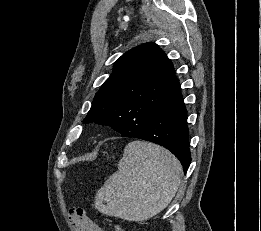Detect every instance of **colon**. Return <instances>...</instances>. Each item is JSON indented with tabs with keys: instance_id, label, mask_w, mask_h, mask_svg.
<instances>
[{
	"instance_id": "1",
	"label": "colon",
	"mask_w": 261,
	"mask_h": 231,
	"mask_svg": "<svg viewBox=\"0 0 261 231\" xmlns=\"http://www.w3.org/2000/svg\"><path fill=\"white\" fill-rule=\"evenodd\" d=\"M69 221L78 227L80 231H86L92 227V221L88 217L86 211L81 207H72L68 214ZM115 231H124V229L116 224L114 226Z\"/></svg>"
}]
</instances>
